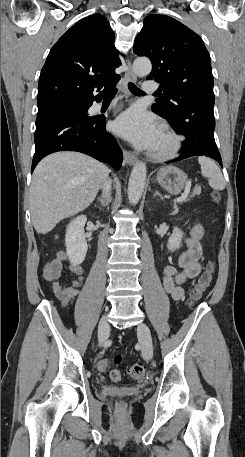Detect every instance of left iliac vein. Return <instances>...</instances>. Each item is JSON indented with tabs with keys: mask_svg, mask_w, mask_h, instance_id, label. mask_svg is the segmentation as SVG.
Segmentation results:
<instances>
[{
	"mask_svg": "<svg viewBox=\"0 0 245 457\" xmlns=\"http://www.w3.org/2000/svg\"><path fill=\"white\" fill-rule=\"evenodd\" d=\"M139 331V342L142 346L143 356L146 360H150L153 357V344L151 340V334L148 326L145 323L138 325Z\"/></svg>",
	"mask_w": 245,
	"mask_h": 457,
	"instance_id": "1",
	"label": "left iliac vein"
}]
</instances>
